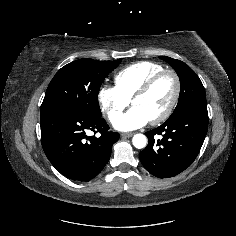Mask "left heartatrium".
Here are the masks:
<instances>
[{"mask_svg":"<svg viewBox=\"0 0 236 236\" xmlns=\"http://www.w3.org/2000/svg\"><path fill=\"white\" fill-rule=\"evenodd\" d=\"M150 120L138 107L115 116L112 124L119 131H131L145 126Z\"/></svg>","mask_w":236,"mask_h":236,"instance_id":"obj_1","label":"left heart atrium"}]
</instances>
